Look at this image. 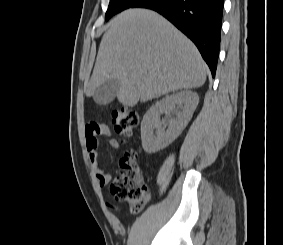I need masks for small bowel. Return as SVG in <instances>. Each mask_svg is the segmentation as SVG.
Here are the masks:
<instances>
[{
  "mask_svg": "<svg viewBox=\"0 0 283 245\" xmlns=\"http://www.w3.org/2000/svg\"><path fill=\"white\" fill-rule=\"evenodd\" d=\"M86 147L89 153L90 160L93 164L95 175L98 180V183L101 187L106 186L110 180V174L106 173L104 169L101 167L99 162V152L98 146L100 143V137H107L110 135V128L108 125L104 123H88L86 125ZM108 143L113 148H118L119 143L115 139L108 140ZM111 208L115 209V207L110 206Z\"/></svg>",
  "mask_w": 283,
  "mask_h": 245,
  "instance_id": "c3829d8e",
  "label": "small bowel"
}]
</instances>
